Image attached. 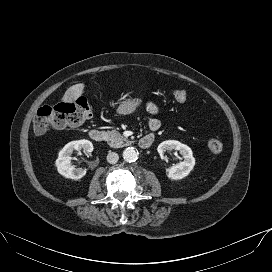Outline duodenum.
I'll use <instances>...</instances> for the list:
<instances>
[{
    "label": "duodenum",
    "instance_id": "duodenum-1",
    "mask_svg": "<svg viewBox=\"0 0 272 272\" xmlns=\"http://www.w3.org/2000/svg\"><path fill=\"white\" fill-rule=\"evenodd\" d=\"M89 135L93 141L98 143H101L105 140L104 132L97 128L91 129L89 132ZM153 142H154V136L151 134H148L139 140V146L145 149L150 147L153 144Z\"/></svg>",
    "mask_w": 272,
    "mask_h": 272
}]
</instances>
